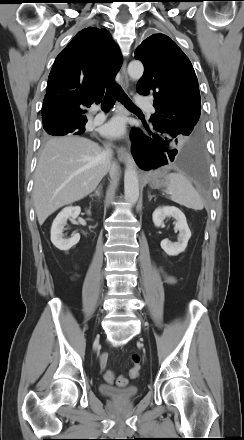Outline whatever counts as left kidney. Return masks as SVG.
<instances>
[{"label": "left kidney", "mask_w": 244, "mask_h": 440, "mask_svg": "<svg viewBox=\"0 0 244 440\" xmlns=\"http://www.w3.org/2000/svg\"><path fill=\"white\" fill-rule=\"evenodd\" d=\"M166 217H172L176 220L175 229L179 231L178 242L172 243L168 239H164L160 245L169 256H176L187 247L188 240L191 237V231L184 213L173 206L158 207L152 215L154 225L156 227L161 226Z\"/></svg>", "instance_id": "5707ae66"}]
</instances>
